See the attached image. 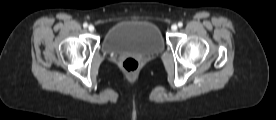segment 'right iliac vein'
I'll use <instances>...</instances> for the list:
<instances>
[{
  "instance_id": "right-iliac-vein-1",
  "label": "right iliac vein",
  "mask_w": 276,
  "mask_h": 120,
  "mask_svg": "<svg viewBox=\"0 0 276 120\" xmlns=\"http://www.w3.org/2000/svg\"><path fill=\"white\" fill-rule=\"evenodd\" d=\"M88 30H89L90 32H94L95 28H94L93 25H89Z\"/></svg>"
}]
</instances>
